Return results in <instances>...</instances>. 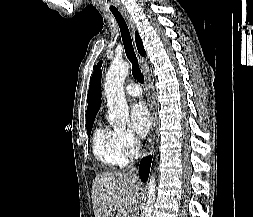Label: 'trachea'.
<instances>
[{"mask_svg":"<svg viewBox=\"0 0 253 217\" xmlns=\"http://www.w3.org/2000/svg\"><path fill=\"white\" fill-rule=\"evenodd\" d=\"M110 11L114 15V17L119 25L121 36H122V41H123L124 48H125V53H126L128 60L132 64V75L138 82L143 84L144 77H143L140 67L138 65L137 57L134 52V48L132 45V40H131V36H130V32H129L127 23L117 8H110Z\"/></svg>","mask_w":253,"mask_h":217,"instance_id":"trachea-1","label":"trachea"}]
</instances>
